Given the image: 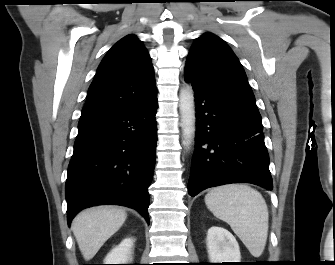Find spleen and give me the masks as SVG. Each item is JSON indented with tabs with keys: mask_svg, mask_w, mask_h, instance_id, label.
<instances>
[{
	"mask_svg": "<svg viewBox=\"0 0 335 265\" xmlns=\"http://www.w3.org/2000/svg\"><path fill=\"white\" fill-rule=\"evenodd\" d=\"M207 208L228 223L254 257L262 255L268 236L269 213L263 196L246 184H228L211 189Z\"/></svg>",
	"mask_w": 335,
	"mask_h": 265,
	"instance_id": "1",
	"label": "spleen"
}]
</instances>
